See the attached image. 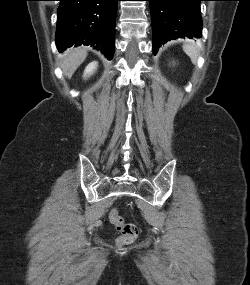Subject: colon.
I'll return each instance as SVG.
<instances>
[{
  "mask_svg": "<svg viewBox=\"0 0 250 285\" xmlns=\"http://www.w3.org/2000/svg\"><path fill=\"white\" fill-rule=\"evenodd\" d=\"M109 219L117 231L120 233V236L118 238V243L120 245L129 244L137 238L139 234L138 227L133 223L124 222L117 209H112L110 211Z\"/></svg>",
  "mask_w": 250,
  "mask_h": 285,
  "instance_id": "colon-1",
  "label": "colon"
}]
</instances>
